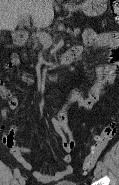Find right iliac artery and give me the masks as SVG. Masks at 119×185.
Here are the masks:
<instances>
[{
  "label": "right iliac artery",
  "instance_id": "right-iliac-artery-1",
  "mask_svg": "<svg viewBox=\"0 0 119 185\" xmlns=\"http://www.w3.org/2000/svg\"><path fill=\"white\" fill-rule=\"evenodd\" d=\"M14 176L16 177V178H18L19 176H20V170L17 168V169H15V171H14Z\"/></svg>",
  "mask_w": 119,
  "mask_h": 185
}]
</instances>
